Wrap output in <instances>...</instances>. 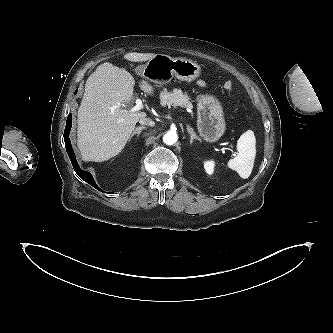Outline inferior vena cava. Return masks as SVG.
I'll list each match as a JSON object with an SVG mask.
<instances>
[{
	"label": "inferior vena cava",
	"instance_id": "602c4592",
	"mask_svg": "<svg viewBox=\"0 0 333 333\" xmlns=\"http://www.w3.org/2000/svg\"><path fill=\"white\" fill-rule=\"evenodd\" d=\"M139 123L142 124V125H148V126H154L155 125L154 121H152L150 118H146V117L141 118L139 120Z\"/></svg>",
	"mask_w": 333,
	"mask_h": 333
}]
</instances>
